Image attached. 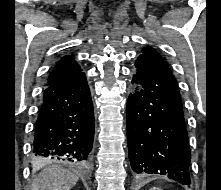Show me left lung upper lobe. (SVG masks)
Masks as SVG:
<instances>
[{
  "label": "left lung upper lobe",
  "mask_w": 221,
  "mask_h": 190,
  "mask_svg": "<svg viewBox=\"0 0 221 190\" xmlns=\"http://www.w3.org/2000/svg\"><path fill=\"white\" fill-rule=\"evenodd\" d=\"M142 55L141 56H147L150 57L152 59H154L155 61H157L158 63H160L161 65H163L165 68L169 69L168 64L165 62V60L161 57V55L152 47H144L142 49ZM170 70V69H169Z\"/></svg>",
  "instance_id": "obj_1"
}]
</instances>
